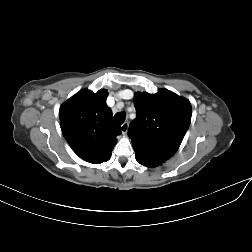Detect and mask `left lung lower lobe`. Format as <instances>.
Here are the masks:
<instances>
[{
    "instance_id": "left-lung-lower-lobe-1",
    "label": "left lung lower lobe",
    "mask_w": 252,
    "mask_h": 252,
    "mask_svg": "<svg viewBox=\"0 0 252 252\" xmlns=\"http://www.w3.org/2000/svg\"><path fill=\"white\" fill-rule=\"evenodd\" d=\"M136 160L141 164L146 167H156L161 164V162H158L156 160L144 157L142 155L136 154Z\"/></svg>"
}]
</instances>
